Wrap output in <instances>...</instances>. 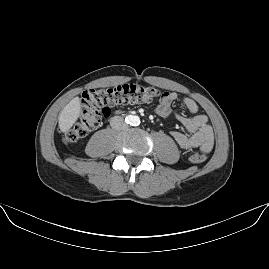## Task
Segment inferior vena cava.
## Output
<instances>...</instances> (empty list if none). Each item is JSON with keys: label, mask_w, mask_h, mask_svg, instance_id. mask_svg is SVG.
<instances>
[{"label": "inferior vena cava", "mask_w": 269, "mask_h": 269, "mask_svg": "<svg viewBox=\"0 0 269 269\" xmlns=\"http://www.w3.org/2000/svg\"><path fill=\"white\" fill-rule=\"evenodd\" d=\"M110 125L114 130H125L128 125L125 123L124 118L121 116H114L110 119Z\"/></svg>", "instance_id": "1"}]
</instances>
